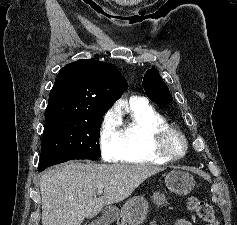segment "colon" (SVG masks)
<instances>
[{
	"mask_svg": "<svg viewBox=\"0 0 237 225\" xmlns=\"http://www.w3.org/2000/svg\"><path fill=\"white\" fill-rule=\"evenodd\" d=\"M187 207L197 213L204 225H219L215 218L214 209L209 203L200 201L195 197H189Z\"/></svg>",
	"mask_w": 237,
	"mask_h": 225,
	"instance_id": "1",
	"label": "colon"
}]
</instances>
